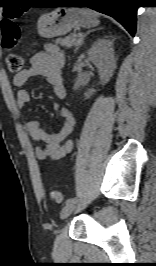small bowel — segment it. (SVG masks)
<instances>
[{"label":"small bowel","mask_w":156,"mask_h":266,"mask_svg":"<svg viewBox=\"0 0 156 266\" xmlns=\"http://www.w3.org/2000/svg\"><path fill=\"white\" fill-rule=\"evenodd\" d=\"M64 56L58 47L47 45L45 51L34 54L30 60V66L17 73L13 78L16 87H23L33 78H45L52 86L53 93L59 99L66 97V89L63 84L62 68ZM31 100L30 93L26 89L17 92L16 104L24 108ZM63 118L62 128L55 133H48L40 122L31 120L27 122V130L31 138L42 142V146L35 149V155L39 160H61L68 155L73 148V142L68 139L75 126V117L67 105L60 108Z\"/></svg>","instance_id":"obj_1"}]
</instances>
